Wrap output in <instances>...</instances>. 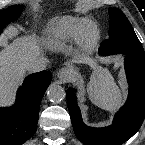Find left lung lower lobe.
Segmentation results:
<instances>
[{
  "label": "left lung lower lobe",
  "instance_id": "0a47b994",
  "mask_svg": "<svg viewBox=\"0 0 145 145\" xmlns=\"http://www.w3.org/2000/svg\"><path fill=\"white\" fill-rule=\"evenodd\" d=\"M101 44V55L115 54ZM124 54V53H123ZM125 70L129 83L126 104L115 115L113 124L105 128L85 125L77 106L73 89L66 91L67 105L77 138L86 145H120L132 137L142 125L145 116V59L125 54Z\"/></svg>",
  "mask_w": 145,
  "mask_h": 145
}]
</instances>
